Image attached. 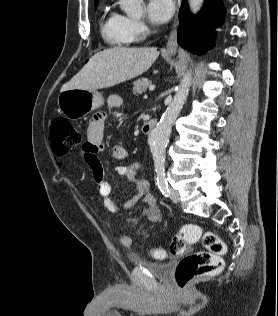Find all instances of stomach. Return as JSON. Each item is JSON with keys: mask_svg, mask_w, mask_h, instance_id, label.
I'll list each match as a JSON object with an SVG mask.
<instances>
[{"mask_svg": "<svg viewBox=\"0 0 278 316\" xmlns=\"http://www.w3.org/2000/svg\"><path fill=\"white\" fill-rule=\"evenodd\" d=\"M104 105V98L96 90L68 89L58 97L60 112L71 120L80 119Z\"/></svg>", "mask_w": 278, "mask_h": 316, "instance_id": "1", "label": "stomach"}]
</instances>
